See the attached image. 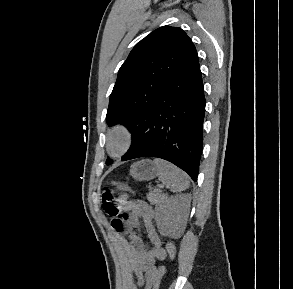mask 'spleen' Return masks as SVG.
<instances>
[{
    "instance_id": "3e777b00",
    "label": "spleen",
    "mask_w": 293,
    "mask_h": 289,
    "mask_svg": "<svg viewBox=\"0 0 293 289\" xmlns=\"http://www.w3.org/2000/svg\"><path fill=\"white\" fill-rule=\"evenodd\" d=\"M154 164L158 170L159 180L172 192H182L189 187L187 174L170 162L156 158Z\"/></svg>"
}]
</instances>
